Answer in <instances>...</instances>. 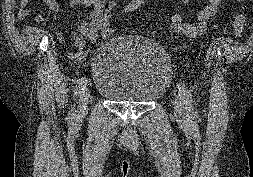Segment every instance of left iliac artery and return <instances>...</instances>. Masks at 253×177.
Masks as SVG:
<instances>
[{
	"label": "left iliac artery",
	"instance_id": "1",
	"mask_svg": "<svg viewBox=\"0 0 253 177\" xmlns=\"http://www.w3.org/2000/svg\"><path fill=\"white\" fill-rule=\"evenodd\" d=\"M179 95L181 96L183 103L185 104L186 114L188 119L192 125L196 123L194 108L192 104V97L191 94L186 87V85L182 82L178 83Z\"/></svg>",
	"mask_w": 253,
	"mask_h": 177
}]
</instances>
